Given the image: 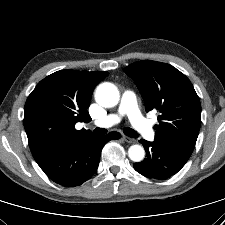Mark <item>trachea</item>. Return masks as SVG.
<instances>
[{
    "instance_id": "trachea-1",
    "label": "trachea",
    "mask_w": 225,
    "mask_h": 225,
    "mask_svg": "<svg viewBox=\"0 0 225 225\" xmlns=\"http://www.w3.org/2000/svg\"><path fill=\"white\" fill-rule=\"evenodd\" d=\"M94 132L95 133H98V134H105L107 132L106 129H103V128H95L94 129ZM124 134L127 135L128 137H131V138H137L138 137V134L136 131H134L133 129L131 128H125L124 129Z\"/></svg>"
}]
</instances>
